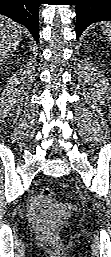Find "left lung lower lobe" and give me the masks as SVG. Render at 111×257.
<instances>
[{"label":"left lung lower lobe","mask_w":111,"mask_h":257,"mask_svg":"<svg viewBox=\"0 0 111 257\" xmlns=\"http://www.w3.org/2000/svg\"><path fill=\"white\" fill-rule=\"evenodd\" d=\"M76 36L92 23L111 20V0H76Z\"/></svg>","instance_id":"1"}]
</instances>
